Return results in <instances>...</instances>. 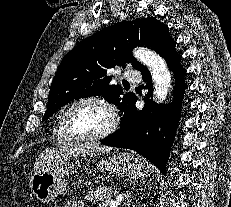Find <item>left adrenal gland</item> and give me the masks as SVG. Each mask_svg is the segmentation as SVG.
Here are the masks:
<instances>
[{
  "label": "left adrenal gland",
  "mask_w": 231,
  "mask_h": 207,
  "mask_svg": "<svg viewBox=\"0 0 231 207\" xmlns=\"http://www.w3.org/2000/svg\"><path fill=\"white\" fill-rule=\"evenodd\" d=\"M131 202L130 192H126L124 205L129 207Z\"/></svg>",
  "instance_id": "a2214340"
}]
</instances>
